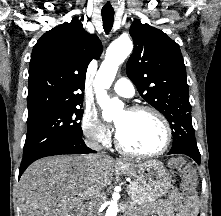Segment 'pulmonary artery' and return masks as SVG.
<instances>
[{"mask_svg": "<svg viewBox=\"0 0 221 216\" xmlns=\"http://www.w3.org/2000/svg\"><path fill=\"white\" fill-rule=\"evenodd\" d=\"M113 90L116 94L125 98H131L135 93L133 84L127 78L118 79L113 86Z\"/></svg>", "mask_w": 221, "mask_h": 216, "instance_id": "e3ab8cb5", "label": "pulmonary artery"}]
</instances>
